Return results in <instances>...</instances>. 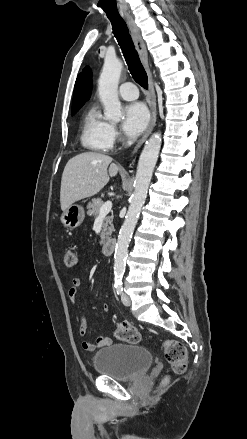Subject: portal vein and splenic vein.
I'll use <instances>...</instances> for the list:
<instances>
[{"instance_id":"obj_1","label":"portal vein and splenic vein","mask_w":247,"mask_h":439,"mask_svg":"<svg viewBox=\"0 0 247 439\" xmlns=\"http://www.w3.org/2000/svg\"><path fill=\"white\" fill-rule=\"evenodd\" d=\"M112 202L110 200L106 201L100 208L99 216H104L111 211Z\"/></svg>"}]
</instances>
